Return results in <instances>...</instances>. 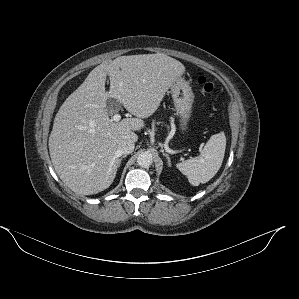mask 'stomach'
Returning a JSON list of instances; mask_svg holds the SVG:
<instances>
[{"mask_svg": "<svg viewBox=\"0 0 299 299\" xmlns=\"http://www.w3.org/2000/svg\"><path fill=\"white\" fill-rule=\"evenodd\" d=\"M170 92L173 98L176 116L179 118L181 131L185 132L192 114L194 103L192 88L183 77H179L170 86Z\"/></svg>", "mask_w": 299, "mask_h": 299, "instance_id": "obj_1", "label": "stomach"}]
</instances>
